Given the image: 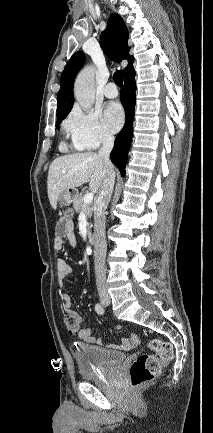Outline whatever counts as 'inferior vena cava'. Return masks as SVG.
<instances>
[{"label": "inferior vena cava", "instance_id": "inferior-vena-cava-1", "mask_svg": "<svg viewBox=\"0 0 213 433\" xmlns=\"http://www.w3.org/2000/svg\"><path fill=\"white\" fill-rule=\"evenodd\" d=\"M113 145L114 136L110 133H104L102 147L99 149L98 155L104 160L106 174L94 204V263L96 285L99 293L107 291L105 268L107 252L105 236V210L111 199L115 182V173L110 161V152L113 148Z\"/></svg>", "mask_w": 213, "mask_h": 433}]
</instances>
